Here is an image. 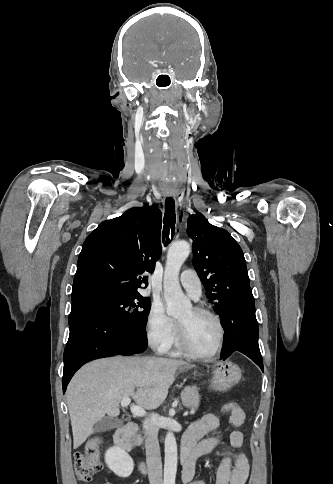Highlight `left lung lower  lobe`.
<instances>
[{
    "label": "left lung lower lobe",
    "mask_w": 333,
    "mask_h": 484,
    "mask_svg": "<svg viewBox=\"0 0 333 484\" xmlns=\"http://www.w3.org/2000/svg\"><path fill=\"white\" fill-rule=\"evenodd\" d=\"M220 317L225 331V347L221 351L220 359L225 360L234 351H239L263 370L258 345L259 328L251 288L242 289L236 293L234 300H227L221 309Z\"/></svg>",
    "instance_id": "obj_1"
}]
</instances>
